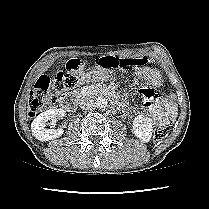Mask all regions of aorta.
<instances>
[{
  "label": "aorta",
  "instance_id": "aorta-1",
  "mask_svg": "<svg viewBox=\"0 0 209 209\" xmlns=\"http://www.w3.org/2000/svg\"><path fill=\"white\" fill-rule=\"evenodd\" d=\"M95 103L99 108H106L108 106V100L104 97L96 98Z\"/></svg>",
  "mask_w": 209,
  "mask_h": 209
}]
</instances>
